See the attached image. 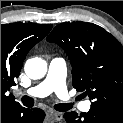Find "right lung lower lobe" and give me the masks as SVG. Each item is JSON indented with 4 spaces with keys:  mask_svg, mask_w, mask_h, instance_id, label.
I'll return each instance as SVG.
<instances>
[{
    "mask_svg": "<svg viewBox=\"0 0 123 123\" xmlns=\"http://www.w3.org/2000/svg\"><path fill=\"white\" fill-rule=\"evenodd\" d=\"M45 113L39 108L27 109L21 105L1 108V123H42Z\"/></svg>",
    "mask_w": 123,
    "mask_h": 123,
    "instance_id": "98d812e1",
    "label": "right lung lower lobe"
}]
</instances>
